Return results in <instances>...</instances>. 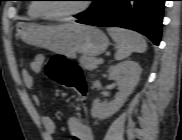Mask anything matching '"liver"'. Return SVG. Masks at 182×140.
Instances as JSON below:
<instances>
[{"label":"liver","instance_id":"6515ba94","mask_svg":"<svg viewBox=\"0 0 182 140\" xmlns=\"http://www.w3.org/2000/svg\"><path fill=\"white\" fill-rule=\"evenodd\" d=\"M72 25H76L75 23H68V24H64V25H61V26H72Z\"/></svg>","mask_w":182,"mask_h":140}]
</instances>
